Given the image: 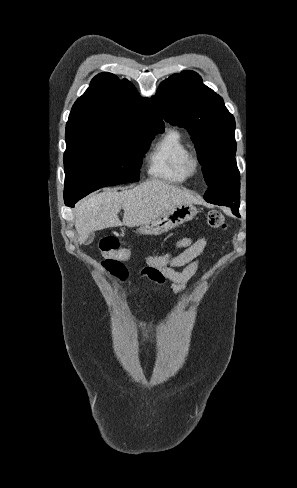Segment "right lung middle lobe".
Here are the masks:
<instances>
[{"label":"right lung middle lobe","mask_w":297,"mask_h":488,"mask_svg":"<svg viewBox=\"0 0 297 488\" xmlns=\"http://www.w3.org/2000/svg\"><path fill=\"white\" fill-rule=\"evenodd\" d=\"M163 130L142 126L125 135L66 143L64 202L73 205L105 186L139 180V168L154 136Z\"/></svg>","instance_id":"right-lung-middle-lobe-1"}]
</instances>
